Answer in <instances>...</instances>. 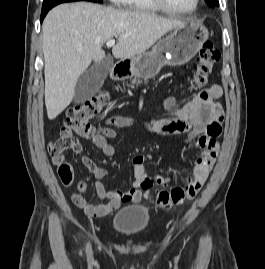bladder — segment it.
Returning a JSON list of instances; mask_svg holds the SVG:
<instances>
[{
    "instance_id": "31cf9c89",
    "label": "bladder",
    "mask_w": 265,
    "mask_h": 269,
    "mask_svg": "<svg viewBox=\"0 0 265 269\" xmlns=\"http://www.w3.org/2000/svg\"><path fill=\"white\" fill-rule=\"evenodd\" d=\"M150 211L143 206H128L112 217V228L115 232L135 236L147 229L150 224Z\"/></svg>"
}]
</instances>
